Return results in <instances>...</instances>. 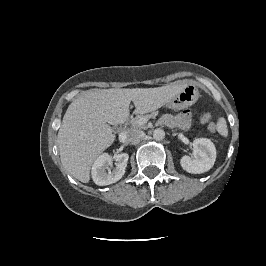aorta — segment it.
I'll use <instances>...</instances> for the list:
<instances>
[{
	"mask_svg": "<svg viewBox=\"0 0 266 266\" xmlns=\"http://www.w3.org/2000/svg\"><path fill=\"white\" fill-rule=\"evenodd\" d=\"M153 138L157 141H161L165 138V132L161 128H157L153 131Z\"/></svg>",
	"mask_w": 266,
	"mask_h": 266,
	"instance_id": "aorta-1",
	"label": "aorta"
}]
</instances>
